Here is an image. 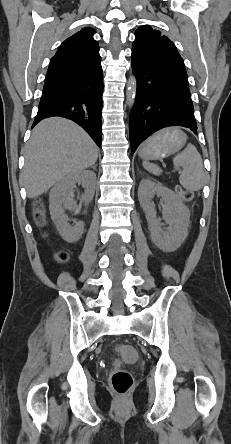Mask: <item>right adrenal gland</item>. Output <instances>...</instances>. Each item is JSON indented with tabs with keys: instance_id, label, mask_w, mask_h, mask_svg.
<instances>
[{
	"instance_id": "1",
	"label": "right adrenal gland",
	"mask_w": 231,
	"mask_h": 444,
	"mask_svg": "<svg viewBox=\"0 0 231 444\" xmlns=\"http://www.w3.org/2000/svg\"><path fill=\"white\" fill-rule=\"evenodd\" d=\"M92 169H93V170H96V165H94V166L92 167Z\"/></svg>"
}]
</instances>
